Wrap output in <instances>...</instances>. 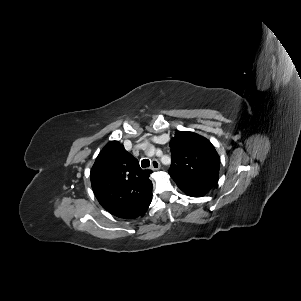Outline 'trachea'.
<instances>
[{"label": "trachea", "mask_w": 301, "mask_h": 301, "mask_svg": "<svg viewBox=\"0 0 301 301\" xmlns=\"http://www.w3.org/2000/svg\"><path fill=\"white\" fill-rule=\"evenodd\" d=\"M141 166H142V168H147V167H149V166H150V161H149L148 159H143V160L141 161Z\"/></svg>", "instance_id": "trachea-1"}]
</instances>
